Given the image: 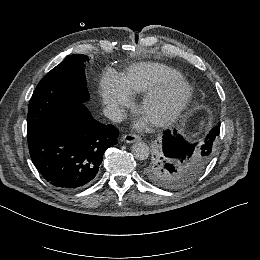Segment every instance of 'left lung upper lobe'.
Instances as JSON below:
<instances>
[{
  "label": "left lung upper lobe",
  "instance_id": "5c2ea615",
  "mask_svg": "<svg viewBox=\"0 0 260 260\" xmlns=\"http://www.w3.org/2000/svg\"><path fill=\"white\" fill-rule=\"evenodd\" d=\"M213 153H194L180 159H167L161 143L153 147L143 165L144 176L151 183L165 189H178L195 182L209 164Z\"/></svg>",
  "mask_w": 260,
  "mask_h": 260
}]
</instances>
